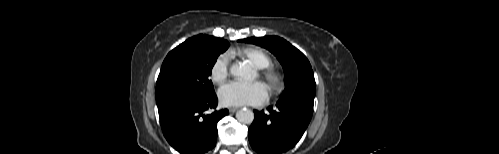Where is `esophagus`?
I'll return each mask as SVG.
<instances>
[{
    "label": "esophagus",
    "mask_w": 499,
    "mask_h": 154,
    "mask_svg": "<svg viewBox=\"0 0 499 154\" xmlns=\"http://www.w3.org/2000/svg\"><path fill=\"white\" fill-rule=\"evenodd\" d=\"M236 110H237V108H234V107L229 108L230 113H234Z\"/></svg>",
    "instance_id": "esophagus-1"
}]
</instances>
